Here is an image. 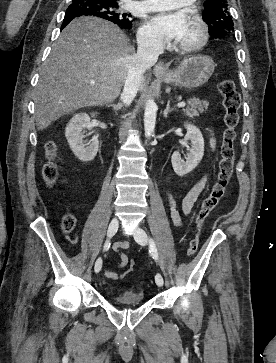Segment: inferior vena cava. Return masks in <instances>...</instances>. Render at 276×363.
I'll use <instances>...</instances> for the list:
<instances>
[{
	"instance_id": "obj_1",
	"label": "inferior vena cava",
	"mask_w": 276,
	"mask_h": 363,
	"mask_svg": "<svg viewBox=\"0 0 276 363\" xmlns=\"http://www.w3.org/2000/svg\"><path fill=\"white\" fill-rule=\"evenodd\" d=\"M163 51L161 36L145 34L139 37L137 53L129 61L128 75L121 95L125 106L132 103L139 90L144 72L157 62L158 56Z\"/></svg>"
}]
</instances>
